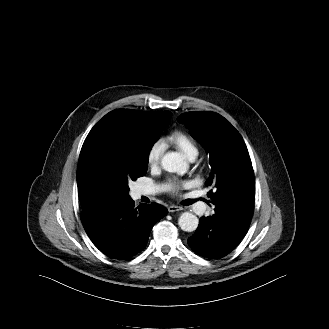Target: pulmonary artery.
Instances as JSON below:
<instances>
[{
    "mask_svg": "<svg viewBox=\"0 0 329 329\" xmlns=\"http://www.w3.org/2000/svg\"><path fill=\"white\" fill-rule=\"evenodd\" d=\"M195 158V157H194ZM194 158H191V160H193ZM137 193L138 195L142 196V195H152L154 193H156V189L150 186H139L137 188Z\"/></svg>",
    "mask_w": 329,
    "mask_h": 329,
    "instance_id": "pulmonary-artery-1",
    "label": "pulmonary artery"
}]
</instances>
